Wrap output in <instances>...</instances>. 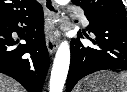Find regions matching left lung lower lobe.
Segmentation results:
<instances>
[{"instance_id": "0a47b994", "label": "left lung lower lobe", "mask_w": 127, "mask_h": 92, "mask_svg": "<svg viewBox=\"0 0 127 92\" xmlns=\"http://www.w3.org/2000/svg\"><path fill=\"white\" fill-rule=\"evenodd\" d=\"M88 29L93 34L91 46L79 39L70 43L71 63L66 81V91L71 92L84 76L105 69L127 70V20L103 18L85 14ZM78 37H83L78 31Z\"/></svg>"}]
</instances>
